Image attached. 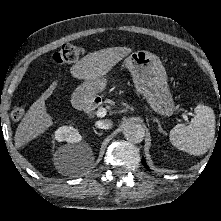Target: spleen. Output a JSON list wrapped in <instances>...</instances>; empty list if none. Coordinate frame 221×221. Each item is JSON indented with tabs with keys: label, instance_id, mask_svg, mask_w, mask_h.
<instances>
[{
	"label": "spleen",
	"instance_id": "1",
	"mask_svg": "<svg viewBox=\"0 0 221 221\" xmlns=\"http://www.w3.org/2000/svg\"><path fill=\"white\" fill-rule=\"evenodd\" d=\"M190 125L177 124L169 134L170 142L191 155L207 152L215 137V114L211 107L198 104Z\"/></svg>",
	"mask_w": 221,
	"mask_h": 221
}]
</instances>
